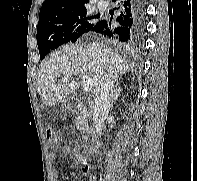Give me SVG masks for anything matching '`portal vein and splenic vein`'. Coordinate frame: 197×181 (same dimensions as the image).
I'll list each match as a JSON object with an SVG mask.
<instances>
[{"label": "portal vein and splenic vein", "instance_id": "portal-vein-and-splenic-vein-1", "mask_svg": "<svg viewBox=\"0 0 197 181\" xmlns=\"http://www.w3.org/2000/svg\"><path fill=\"white\" fill-rule=\"evenodd\" d=\"M63 81H68L69 77L68 76H63L62 77ZM82 84L84 87V91L89 92L92 89L93 86V79L92 77L88 75H82Z\"/></svg>", "mask_w": 197, "mask_h": 181}]
</instances>
